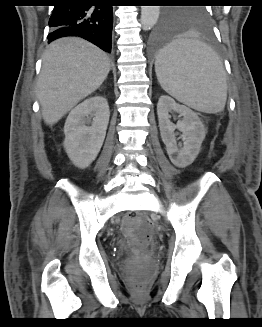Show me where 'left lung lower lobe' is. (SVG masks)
I'll return each mask as SVG.
<instances>
[{
  "mask_svg": "<svg viewBox=\"0 0 262 327\" xmlns=\"http://www.w3.org/2000/svg\"><path fill=\"white\" fill-rule=\"evenodd\" d=\"M208 29V27H207ZM172 39V27L162 22L151 33L148 40V48L152 53L161 52Z\"/></svg>",
  "mask_w": 262,
  "mask_h": 327,
  "instance_id": "1",
  "label": "left lung lower lobe"
}]
</instances>
